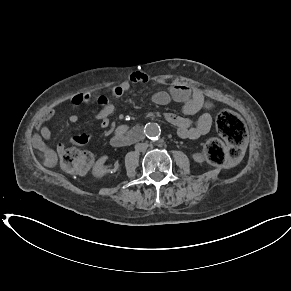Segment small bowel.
<instances>
[{
    "label": "small bowel",
    "mask_w": 291,
    "mask_h": 291,
    "mask_svg": "<svg viewBox=\"0 0 291 291\" xmlns=\"http://www.w3.org/2000/svg\"><path fill=\"white\" fill-rule=\"evenodd\" d=\"M149 82V76L144 72H134L128 80H125L117 85L110 87L106 94L100 95L97 98V103L100 109L96 112L95 118L100 121L101 128L104 131L111 129L110 117L115 112V107L112 104V99L121 98L132 85H144ZM91 95L89 93H78L70 99V104L81 105L89 102ZM172 100L183 103V115L174 113H166L164 118L177 128L178 135L184 139H197L206 135L212 124V117L208 112L212 108V103L205 98L203 93L186 85L176 84L169 90L156 91L152 95V101L156 105L164 106L169 104ZM200 110L204 112L200 115L198 120L193 123L187 116L193 115ZM55 114V108L47 110L40 118L37 125V133L34 134L32 143L33 146L45 153V162L51 164L55 161L56 156H61L65 151V146L59 143L56 146V151L52 152L47 149L45 141L52 137L51 130L48 126L49 121ZM79 119L78 113L74 112L69 115V121L72 123L77 122ZM129 128L125 125H119L114 129L115 136H124L129 132ZM91 139L89 134L76 135L71 139L74 144H86Z\"/></svg>",
    "instance_id": "small-bowel-1"
}]
</instances>
